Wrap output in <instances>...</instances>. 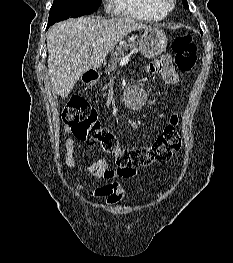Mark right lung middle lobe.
I'll list each match as a JSON object with an SVG mask.
<instances>
[{"mask_svg": "<svg viewBox=\"0 0 233 263\" xmlns=\"http://www.w3.org/2000/svg\"><path fill=\"white\" fill-rule=\"evenodd\" d=\"M102 0H54L48 22L56 23L69 17H79L96 11Z\"/></svg>", "mask_w": 233, "mask_h": 263, "instance_id": "1", "label": "right lung middle lobe"}]
</instances>
